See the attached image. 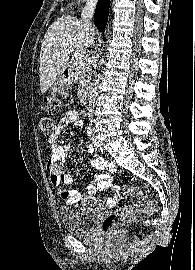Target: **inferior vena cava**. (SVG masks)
<instances>
[{"instance_id": "obj_1", "label": "inferior vena cava", "mask_w": 195, "mask_h": 270, "mask_svg": "<svg viewBox=\"0 0 195 270\" xmlns=\"http://www.w3.org/2000/svg\"><path fill=\"white\" fill-rule=\"evenodd\" d=\"M96 4H97V0H87L86 5L84 9L82 10L81 17H82L83 23L86 26H92L91 19L93 17ZM97 89H98V82L97 80H95V82L93 83L92 93H91L89 104L87 107V111H88L87 114L90 119L92 118L93 113H94L93 109L96 102L95 100H96ZM91 122H92V119H91Z\"/></svg>"}]
</instances>
